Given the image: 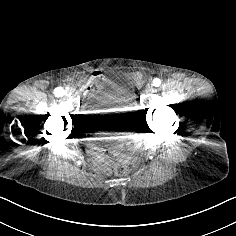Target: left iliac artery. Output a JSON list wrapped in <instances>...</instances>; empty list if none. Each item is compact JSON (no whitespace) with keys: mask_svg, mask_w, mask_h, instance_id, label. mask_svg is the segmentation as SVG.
Masks as SVG:
<instances>
[{"mask_svg":"<svg viewBox=\"0 0 236 236\" xmlns=\"http://www.w3.org/2000/svg\"><path fill=\"white\" fill-rule=\"evenodd\" d=\"M161 84V80L159 78H155L153 80V86L158 87Z\"/></svg>","mask_w":236,"mask_h":236,"instance_id":"obj_1","label":"left iliac artery"}]
</instances>
